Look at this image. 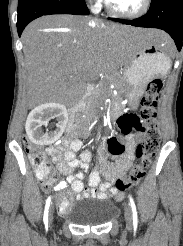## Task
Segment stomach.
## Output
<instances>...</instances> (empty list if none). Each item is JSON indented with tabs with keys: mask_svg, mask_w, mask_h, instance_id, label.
<instances>
[{
	"mask_svg": "<svg viewBox=\"0 0 183 246\" xmlns=\"http://www.w3.org/2000/svg\"><path fill=\"white\" fill-rule=\"evenodd\" d=\"M169 65H171L170 57L160 44L133 41L129 47L127 62L123 65L122 72L131 100L135 103L143 93L147 82L156 75H165Z\"/></svg>",
	"mask_w": 183,
	"mask_h": 246,
	"instance_id": "stomach-1",
	"label": "stomach"
}]
</instances>
